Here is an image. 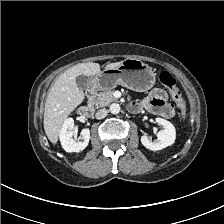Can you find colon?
<instances>
[{
    "mask_svg": "<svg viewBox=\"0 0 224 224\" xmlns=\"http://www.w3.org/2000/svg\"><path fill=\"white\" fill-rule=\"evenodd\" d=\"M160 82L169 90L172 99L176 102L183 114L186 113V102L177 86V81L168 71H162L159 76Z\"/></svg>",
    "mask_w": 224,
    "mask_h": 224,
    "instance_id": "obj_1",
    "label": "colon"
}]
</instances>
